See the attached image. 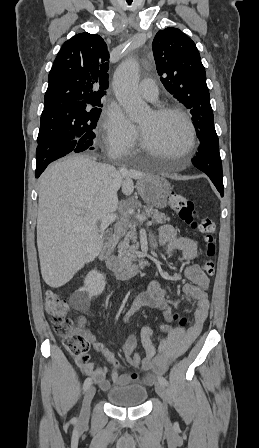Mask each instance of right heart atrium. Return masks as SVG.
Masks as SVG:
<instances>
[{
  "label": "right heart atrium",
  "instance_id": "right-heart-atrium-1",
  "mask_svg": "<svg viewBox=\"0 0 259 448\" xmlns=\"http://www.w3.org/2000/svg\"><path fill=\"white\" fill-rule=\"evenodd\" d=\"M140 136L118 106L110 108L102 122L100 146L113 157H129L140 147Z\"/></svg>",
  "mask_w": 259,
  "mask_h": 448
}]
</instances>
